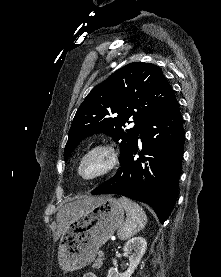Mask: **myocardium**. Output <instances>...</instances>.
<instances>
[{"label":"myocardium","mask_w":221,"mask_h":277,"mask_svg":"<svg viewBox=\"0 0 221 277\" xmlns=\"http://www.w3.org/2000/svg\"><path fill=\"white\" fill-rule=\"evenodd\" d=\"M94 156L102 158L101 167L91 175H84L82 173L83 164ZM118 152L116 148L108 143L96 144L89 148L78 160L76 166V173L79 178L84 181H92L101 178L110 173L118 163Z\"/></svg>","instance_id":"myocardium-1"}]
</instances>
